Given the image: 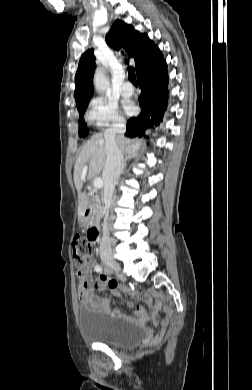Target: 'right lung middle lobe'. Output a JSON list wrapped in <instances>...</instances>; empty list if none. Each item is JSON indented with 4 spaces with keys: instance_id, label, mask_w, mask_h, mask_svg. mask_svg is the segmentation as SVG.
<instances>
[{
    "instance_id": "obj_1",
    "label": "right lung middle lobe",
    "mask_w": 252,
    "mask_h": 390,
    "mask_svg": "<svg viewBox=\"0 0 252 390\" xmlns=\"http://www.w3.org/2000/svg\"><path fill=\"white\" fill-rule=\"evenodd\" d=\"M87 105L78 108L79 111V133L81 136H86L88 134V129L85 128V122H84V111L86 109Z\"/></svg>"
}]
</instances>
